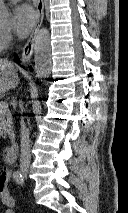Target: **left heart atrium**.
<instances>
[{"instance_id": "39dd6f15", "label": "left heart atrium", "mask_w": 128, "mask_h": 213, "mask_svg": "<svg viewBox=\"0 0 128 213\" xmlns=\"http://www.w3.org/2000/svg\"><path fill=\"white\" fill-rule=\"evenodd\" d=\"M36 21V15L33 9L27 5H18L13 9L12 12V25L13 31L18 38H25Z\"/></svg>"}]
</instances>
